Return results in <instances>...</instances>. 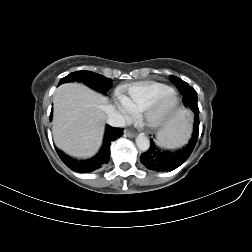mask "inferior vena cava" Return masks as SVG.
<instances>
[{
    "mask_svg": "<svg viewBox=\"0 0 252 252\" xmlns=\"http://www.w3.org/2000/svg\"><path fill=\"white\" fill-rule=\"evenodd\" d=\"M104 111L106 113V121L109 125L113 127L126 126L124 117L120 113L116 112L112 105L105 106Z\"/></svg>",
    "mask_w": 252,
    "mask_h": 252,
    "instance_id": "1",
    "label": "inferior vena cava"
}]
</instances>
